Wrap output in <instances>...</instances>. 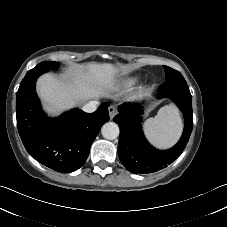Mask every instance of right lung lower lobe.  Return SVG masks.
<instances>
[{
  "label": "right lung lower lobe",
  "instance_id": "obj_1",
  "mask_svg": "<svg viewBox=\"0 0 227 227\" xmlns=\"http://www.w3.org/2000/svg\"><path fill=\"white\" fill-rule=\"evenodd\" d=\"M44 72L27 73L16 94L17 127L27 150L41 164L62 172L79 169L92 142L109 121L104 102L91 114L73 109L59 118H48L35 91L36 79Z\"/></svg>",
  "mask_w": 227,
  "mask_h": 227
}]
</instances>
